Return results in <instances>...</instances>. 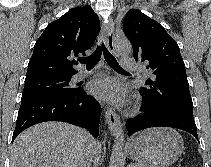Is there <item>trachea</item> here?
<instances>
[{
    "label": "trachea",
    "mask_w": 211,
    "mask_h": 167,
    "mask_svg": "<svg viewBox=\"0 0 211 167\" xmlns=\"http://www.w3.org/2000/svg\"><path fill=\"white\" fill-rule=\"evenodd\" d=\"M102 51H103L105 60L112 68H114L115 70H118V71H124L118 64L115 57L106 49V47L103 43L101 46L97 47V49L95 50V52L92 55L81 59L80 62L86 64L87 69H91L99 62V60L101 58Z\"/></svg>",
    "instance_id": "1"
}]
</instances>
